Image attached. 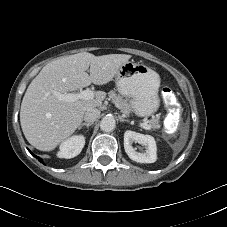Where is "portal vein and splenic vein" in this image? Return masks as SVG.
Segmentation results:
<instances>
[{"label": "portal vein and splenic vein", "instance_id": "obj_1", "mask_svg": "<svg viewBox=\"0 0 227 227\" xmlns=\"http://www.w3.org/2000/svg\"><path fill=\"white\" fill-rule=\"evenodd\" d=\"M55 95L58 97V99L63 100L65 102H74L80 99L91 100L94 98V92L89 89L81 90L78 93L60 94L56 92ZM140 126L146 130L151 129V126L147 123H140Z\"/></svg>", "mask_w": 227, "mask_h": 227}]
</instances>
